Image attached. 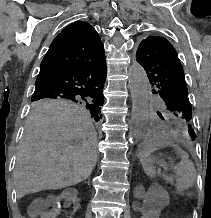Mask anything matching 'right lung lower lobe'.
Instances as JSON below:
<instances>
[{
  "label": "right lung lower lobe",
  "instance_id": "right-lung-lower-lobe-1",
  "mask_svg": "<svg viewBox=\"0 0 211 218\" xmlns=\"http://www.w3.org/2000/svg\"><path fill=\"white\" fill-rule=\"evenodd\" d=\"M106 80L105 57L51 75L36 83L32 98H98Z\"/></svg>",
  "mask_w": 211,
  "mask_h": 218
}]
</instances>
